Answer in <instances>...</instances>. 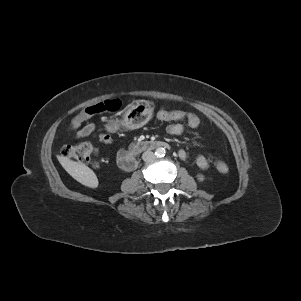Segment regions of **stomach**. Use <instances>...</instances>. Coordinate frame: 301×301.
Masks as SVG:
<instances>
[{"label":"stomach","instance_id":"1","mask_svg":"<svg viewBox=\"0 0 301 301\" xmlns=\"http://www.w3.org/2000/svg\"><path fill=\"white\" fill-rule=\"evenodd\" d=\"M154 107L146 102H134L126 109L122 120L112 123L114 128L123 126L127 129L143 127L152 118Z\"/></svg>","mask_w":301,"mask_h":301}]
</instances>
